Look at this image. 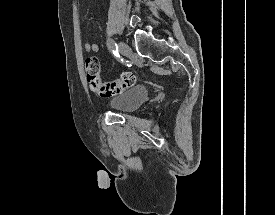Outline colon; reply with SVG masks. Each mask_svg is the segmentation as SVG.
<instances>
[{"instance_id": "colon-1", "label": "colon", "mask_w": 275, "mask_h": 215, "mask_svg": "<svg viewBox=\"0 0 275 215\" xmlns=\"http://www.w3.org/2000/svg\"><path fill=\"white\" fill-rule=\"evenodd\" d=\"M84 65L90 88L103 98L113 97L130 88L136 82V77L131 72H124L112 81H103L100 78L99 60L95 56L86 57Z\"/></svg>"}]
</instances>
